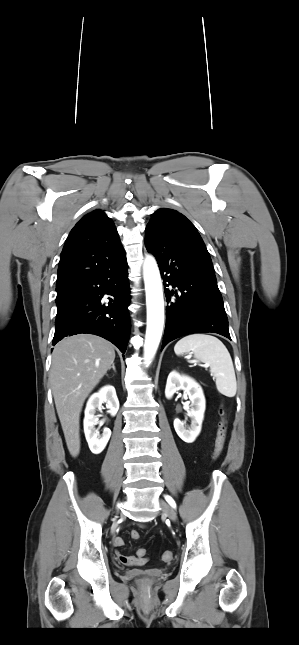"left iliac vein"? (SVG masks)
<instances>
[{
	"instance_id": "1",
	"label": "left iliac vein",
	"mask_w": 299,
	"mask_h": 645,
	"mask_svg": "<svg viewBox=\"0 0 299 645\" xmlns=\"http://www.w3.org/2000/svg\"><path fill=\"white\" fill-rule=\"evenodd\" d=\"M160 507L165 515H167L172 521H176L177 515L175 510L166 501L161 499Z\"/></svg>"
}]
</instances>
